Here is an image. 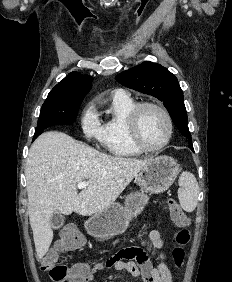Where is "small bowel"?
<instances>
[{
  "label": "small bowel",
  "mask_w": 232,
  "mask_h": 282,
  "mask_svg": "<svg viewBox=\"0 0 232 282\" xmlns=\"http://www.w3.org/2000/svg\"><path fill=\"white\" fill-rule=\"evenodd\" d=\"M148 245H152L157 251L158 263L155 267L143 250ZM141 246L143 248L132 247L120 250L106 261L98 264L96 269H114L118 273L136 278L138 282H173L161 233L155 229L151 230L147 238L142 239ZM93 273L87 275L86 282L93 280ZM114 278L115 275H109L107 280Z\"/></svg>",
  "instance_id": "c3829d8e"
}]
</instances>
